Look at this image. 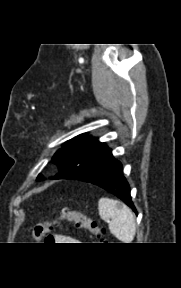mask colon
Wrapping results in <instances>:
<instances>
[{"instance_id":"1","label":"colon","mask_w":181,"mask_h":288,"mask_svg":"<svg viewBox=\"0 0 181 288\" xmlns=\"http://www.w3.org/2000/svg\"><path fill=\"white\" fill-rule=\"evenodd\" d=\"M73 223L77 228L86 229L91 235L103 239L105 231L100 227L97 221L89 218L84 213L72 210L69 208H63L60 213L51 221L44 224H36L31 227V236L34 240H49L51 238V232L60 225L64 224L69 226Z\"/></svg>"}]
</instances>
